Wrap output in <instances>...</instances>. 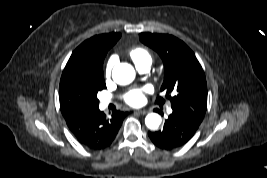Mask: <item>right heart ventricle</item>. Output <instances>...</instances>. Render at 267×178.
<instances>
[{
  "mask_svg": "<svg viewBox=\"0 0 267 178\" xmlns=\"http://www.w3.org/2000/svg\"><path fill=\"white\" fill-rule=\"evenodd\" d=\"M129 54L136 66L146 62L151 63V56L149 52L142 47H136L132 49Z\"/></svg>",
  "mask_w": 267,
  "mask_h": 178,
  "instance_id": "1",
  "label": "right heart ventricle"
}]
</instances>
